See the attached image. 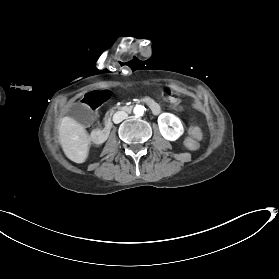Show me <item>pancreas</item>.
<instances>
[{"label": "pancreas", "mask_w": 279, "mask_h": 279, "mask_svg": "<svg viewBox=\"0 0 279 279\" xmlns=\"http://www.w3.org/2000/svg\"><path fill=\"white\" fill-rule=\"evenodd\" d=\"M115 109H116V107L114 106L112 109L109 110V112H110L111 114H113V112H114Z\"/></svg>", "instance_id": "pancreas-1"}]
</instances>
